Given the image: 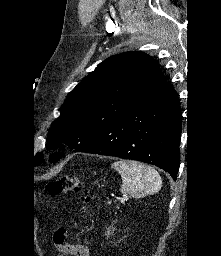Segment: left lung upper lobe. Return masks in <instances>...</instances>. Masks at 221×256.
<instances>
[{
    "instance_id": "5c2ea615",
    "label": "left lung upper lobe",
    "mask_w": 221,
    "mask_h": 256,
    "mask_svg": "<svg viewBox=\"0 0 221 256\" xmlns=\"http://www.w3.org/2000/svg\"><path fill=\"white\" fill-rule=\"evenodd\" d=\"M164 83L158 63L145 53L126 52L106 59L68 94L60 117L49 129L47 148L78 149ZM61 157L63 153H54L50 161ZM42 162L37 155L36 164Z\"/></svg>"
}]
</instances>
